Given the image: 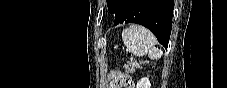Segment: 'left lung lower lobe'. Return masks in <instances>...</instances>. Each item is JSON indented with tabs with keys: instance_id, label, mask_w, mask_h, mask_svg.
<instances>
[{
	"instance_id": "left-lung-lower-lobe-1",
	"label": "left lung lower lobe",
	"mask_w": 227,
	"mask_h": 88,
	"mask_svg": "<svg viewBox=\"0 0 227 88\" xmlns=\"http://www.w3.org/2000/svg\"><path fill=\"white\" fill-rule=\"evenodd\" d=\"M173 0H119L114 24L137 23L148 28L165 48L168 46Z\"/></svg>"
}]
</instances>
